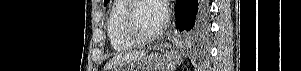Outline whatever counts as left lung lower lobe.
<instances>
[{"mask_svg": "<svg viewBox=\"0 0 301 71\" xmlns=\"http://www.w3.org/2000/svg\"><path fill=\"white\" fill-rule=\"evenodd\" d=\"M208 0H177L176 27L188 36L191 44H204L209 34Z\"/></svg>", "mask_w": 301, "mask_h": 71, "instance_id": "obj_1", "label": "left lung lower lobe"}]
</instances>
